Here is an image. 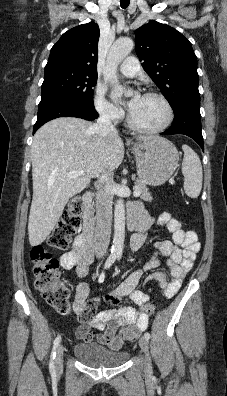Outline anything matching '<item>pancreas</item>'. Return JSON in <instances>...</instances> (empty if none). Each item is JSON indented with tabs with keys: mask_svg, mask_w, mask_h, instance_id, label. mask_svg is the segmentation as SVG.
Listing matches in <instances>:
<instances>
[{
	"mask_svg": "<svg viewBox=\"0 0 227 396\" xmlns=\"http://www.w3.org/2000/svg\"><path fill=\"white\" fill-rule=\"evenodd\" d=\"M134 188H137V190L140 191L139 196L142 200H144V201L152 200V196L144 183H142L141 181H136Z\"/></svg>",
	"mask_w": 227,
	"mask_h": 396,
	"instance_id": "pancreas-1",
	"label": "pancreas"
}]
</instances>
